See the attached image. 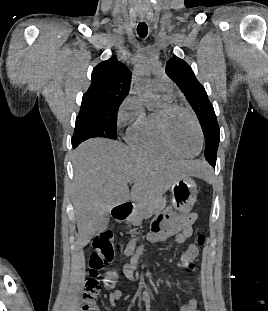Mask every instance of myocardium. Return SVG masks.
I'll use <instances>...</instances> for the list:
<instances>
[{"label":"myocardium","mask_w":268,"mask_h":311,"mask_svg":"<svg viewBox=\"0 0 268 311\" xmlns=\"http://www.w3.org/2000/svg\"><path fill=\"white\" fill-rule=\"evenodd\" d=\"M177 111H182V112L188 114L190 116V118L193 120V122L197 128L199 138H200V145H199L198 151L193 155L186 154V153L182 152L181 150H179L176 147V145L173 143V141L170 137L169 128H168L169 119H170L171 115ZM159 129H160V134H161L163 141L169 147V149L172 150L175 154L182 156V157H185V158H194L201 153L202 148L204 146V133H203L202 127L200 125V122H199L197 116L189 108L184 107V106L179 105V104H175V103L165 104L161 108V110H159Z\"/></svg>","instance_id":"obj_1"}]
</instances>
